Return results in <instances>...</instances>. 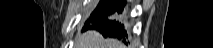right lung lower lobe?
Returning <instances> with one entry per match:
<instances>
[{
    "instance_id": "1",
    "label": "right lung lower lobe",
    "mask_w": 213,
    "mask_h": 48,
    "mask_svg": "<svg viewBox=\"0 0 213 48\" xmlns=\"http://www.w3.org/2000/svg\"><path fill=\"white\" fill-rule=\"evenodd\" d=\"M124 6L125 0H100L87 22L92 25L85 26L84 29H97L104 37L123 38L125 40L127 34L120 22Z\"/></svg>"
}]
</instances>
